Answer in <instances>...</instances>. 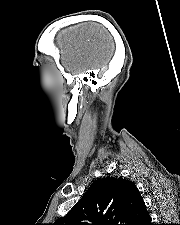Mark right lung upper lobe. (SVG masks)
Returning a JSON list of instances; mask_svg holds the SVG:
<instances>
[{
	"label": "right lung upper lobe",
	"mask_w": 180,
	"mask_h": 225,
	"mask_svg": "<svg viewBox=\"0 0 180 225\" xmlns=\"http://www.w3.org/2000/svg\"><path fill=\"white\" fill-rule=\"evenodd\" d=\"M150 222L135 184L107 177L94 181L68 214L53 225H148Z\"/></svg>",
	"instance_id": "obj_1"
}]
</instances>
